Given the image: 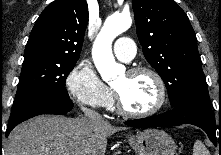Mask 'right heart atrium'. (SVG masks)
Listing matches in <instances>:
<instances>
[{"instance_id":"right-heart-atrium-1","label":"right heart atrium","mask_w":221,"mask_h":155,"mask_svg":"<svg viewBox=\"0 0 221 155\" xmlns=\"http://www.w3.org/2000/svg\"><path fill=\"white\" fill-rule=\"evenodd\" d=\"M66 87L77 103L91 108L106 107L112 98L111 90L86 61L78 63L71 70Z\"/></svg>"}]
</instances>
